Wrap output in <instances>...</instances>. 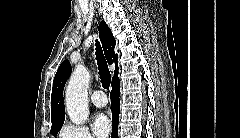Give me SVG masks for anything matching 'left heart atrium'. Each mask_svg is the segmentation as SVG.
<instances>
[{
	"instance_id": "left-heart-atrium-1",
	"label": "left heart atrium",
	"mask_w": 240,
	"mask_h": 138,
	"mask_svg": "<svg viewBox=\"0 0 240 138\" xmlns=\"http://www.w3.org/2000/svg\"><path fill=\"white\" fill-rule=\"evenodd\" d=\"M111 130V121L107 115L99 113L93 123V131L98 138L106 137Z\"/></svg>"
}]
</instances>
